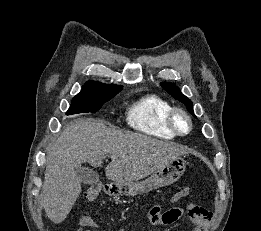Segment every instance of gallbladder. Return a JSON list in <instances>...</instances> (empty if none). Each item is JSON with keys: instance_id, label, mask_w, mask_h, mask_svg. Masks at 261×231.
Wrapping results in <instances>:
<instances>
[{"instance_id": "1", "label": "gallbladder", "mask_w": 261, "mask_h": 231, "mask_svg": "<svg viewBox=\"0 0 261 231\" xmlns=\"http://www.w3.org/2000/svg\"><path fill=\"white\" fill-rule=\"evenodd\" d=\"M75 173L84 184L95 185L98 181V174L88 167L78 166L75 168Z\"/></svg>"}]
</instances>
